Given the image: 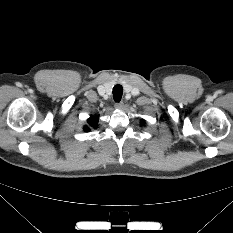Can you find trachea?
I'll return each instance as SVG.
<instances>
[{"instance_id": "1", "label": "trachea", "mask_w": 233, "mask_h": 233, "mask_svg": "<svg viewBox=\"0 0 233 233\" xmlns=\"http://www.w3.org/2000/svg\"><path fill=\"white\" fill-rule=\"evenodd\" d=\"M123 94V88L121 85H115L113 87V98L115 102H120Z\"/></svg>"}]
</instances>
